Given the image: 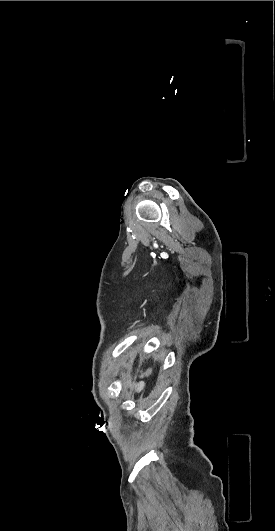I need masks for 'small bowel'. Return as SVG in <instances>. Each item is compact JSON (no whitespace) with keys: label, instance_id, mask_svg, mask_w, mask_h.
<instances>
[{"label":"small bowel","instance_id":"obj_1","mask_svg":"<svg viewBox=\"0 0 275 531\" xmlns=\"http://www.w3.org/2000/svg\"><path fill=\"white\" fill-rule=\"evenodd\" d=\"M143 388H144V383L143 382H138V383L135 384V389L137 391H141Z\"/></svg>","mask_w":275,"mask_h":531}]
</instances>
